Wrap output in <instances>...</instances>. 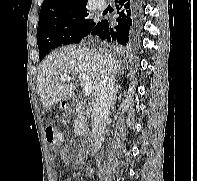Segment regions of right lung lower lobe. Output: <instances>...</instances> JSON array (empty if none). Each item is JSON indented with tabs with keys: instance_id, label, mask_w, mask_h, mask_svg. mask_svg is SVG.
<instances>
[{
	"instance_id": "obj_1",
	"label": "right lung lower lobe",
	"mask_w": 197,
	"mask_h": 181,
	"mask_svg": "<svg viewBox=\"0 0 197 181\" xmlns=\"http://www.w3.org/2000/svg\"><path fill=\"white\" fill-rule=\"evenodd\" d=\"M117 3L116 25H111L107 20L96 23L92 31L108 42H117L126 46L138 29L142 15V0H115Z\"/></svg>"
}]
</instances>
